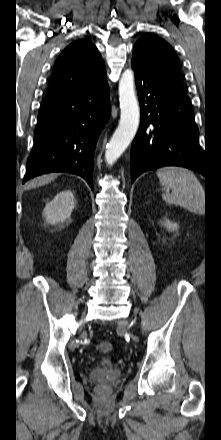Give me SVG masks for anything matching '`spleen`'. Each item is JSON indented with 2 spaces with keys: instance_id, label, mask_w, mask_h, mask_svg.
<instances>
[{
  "instance_id": "spleen-1",
  "label": "spleen",
  "mask_w": 221,
  "mask_h": 440,
  "mask_svg": "<svg viewBox=\"0 0 221 440\" xmlns=\"http://www.w3.org/2000/svg\"><path fill=\"white\" fill-rule=\"evenodd\" d=\"M160 184L170 188L172 193L162 194L170 204L203 214L205 211V192L194 173L183 167H163L157 170Z\"/></svg>"
}]
</instances>
